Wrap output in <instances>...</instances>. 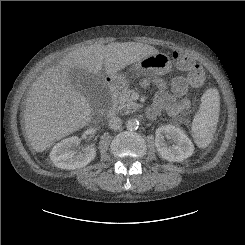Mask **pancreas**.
<instances>
[{
  "label": "pancreas",
  "instance_id": "cf45deb5",
  "mask_svg": "<svg viewBox=\"0 0 245 245\" xmlns=\"http://www.w3.org/2000/svg\"><path fill=\"white\" fill-rule=\"evenodd\" d=\"M131 91L128 87L124 88L120 93L116 100L117 109L120 112L124 113H132L138 108V104H136L132 98L130 97Z\"/></svg>",
  "mask_w": 245,
  "mask_h": 245
}]
</instances>
